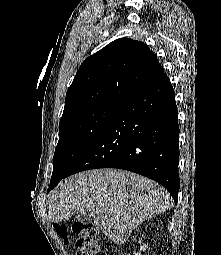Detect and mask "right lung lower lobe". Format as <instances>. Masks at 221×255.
Instances as JSON below:
<instances>
[{"instance_id": "98d812e1", "label": "right lung lower lobe", "mask_w": 221, "mask_h": 255, "mask_svg": "<svg viewBox=\"0 0 221 255\" xmlns=\"http://www.w3.org/2000/svg\"><path fill=\"white\" fill-rule=\"evenodd\" d=\"M178 141L175 94L167 74L163 73L119 105L65 177L96 168L128 170L163 185L176 203Z\"/></svg>"}]
</instances>
